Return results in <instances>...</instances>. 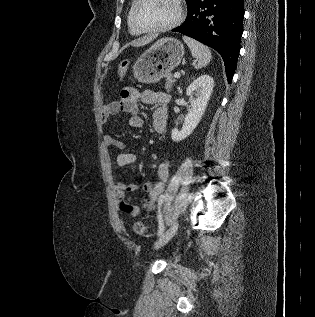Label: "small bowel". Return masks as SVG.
Segmentation results:
<instances>
[{
  "instance_id": "obj_1",
  "label": "small bowel",
  "mask_w": 315,
  "mask_h": 317,
  "mask_svg": "<svg viewBox=\"0 0 315 317\" xmlns=\"http://www.w3.org/2000/svg\"><path fill=\"white\" fill-rule=\"evenodd\" d=\"M170 96L163 92L146 90L138 92L136 89L128 87L121 91L118 100L111 101L103 106L101 121L106 124L109 118L119 112L128 115V122L131 127L139 128L143 126V119L139 113V103L155 105L152 114V126L156 133L163 134L166 131L168 119V103ZM103 141L106 146L123 149L124 143L113 137L105 135ZM137 155L130 152H121L116 156L115 163L118 167H125L135 163ZM170 174V163L168 160L161 161L156 168L157 180L153 183H125L116 181L114 183L117 205L122 213L131 217L140 215L141 209L137 205L130 203L126 197L127 193L142 190L147 193V197L141 200L142 209L151 212L156 209L157 201L164 192L165 182Z\"/></svg>"
}]
</instances>
